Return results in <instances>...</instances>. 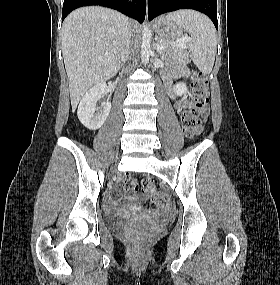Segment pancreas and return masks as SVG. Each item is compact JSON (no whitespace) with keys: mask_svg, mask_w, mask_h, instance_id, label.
<instances>
[{"mask_svg":"<svg viewBox=\"0 0 280 285\" xmlns=\"http://www.w3.org/2000/svg\"><path fill=\"white\" fill-rule=\"evenodd\" d=\"M158 45L164 47V49L160 51V56L162 57V59L166 61L175 60L182 63L190 62L189 53L185 50V46H174L172 41L165 40L162 38L158 39Z\"/></svg>","mask_w":280,"mask_h":285,"instance_id":"pancreas-1","label":"pancreas"}]
</instances>
